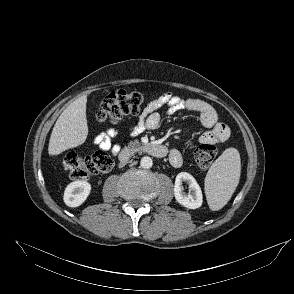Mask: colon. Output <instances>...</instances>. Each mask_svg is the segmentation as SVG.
Returning a JSON list of instances; mask_svg holds the SVG:
<instances>
[{"label":"colon","instance_id":"colon-1","mask_svg":"<svg viewBox=\"0 0 294 294\" xmlns=\"http://www.w3.org/2000/svg\"><path fill=\"white\" fill-rule=\"evenodd\" d=\"M143 97L138 92L114 90L101 102L96 116L100 121L109 120L118 122L126 115H137L140 112ZM217 155L216 147L210 143H203L194 152L197 166L208 169ZM65 169L73 180H85L91 175L108 172L113 161L111 156L104 151H96L91 154L69 153L63 161Z\"/></svg>","mask_w":294,"mask_h":294}]
</instances>
